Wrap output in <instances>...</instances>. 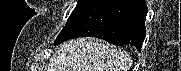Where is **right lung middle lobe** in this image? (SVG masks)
I'll return each instance as SVG.
<instances>
[{
  "instance_id": "obj_1",
  "label": "right lung middle lobe",
  "mask_w": 181,
  "mask_h": 71,
  "mask_svg": "<svg viewBox=\"0 0 181 71\" xmlns=\"http://www.w3.org/2000/svg\"><path fill=\"white\" fill-rule=\"evenodd\" d=\"M95 0H79L75 9L71 13L67 23L72 21L76 16H78L82 11H84L89 5H91Z\"/></svg>"
}]
</instances>
